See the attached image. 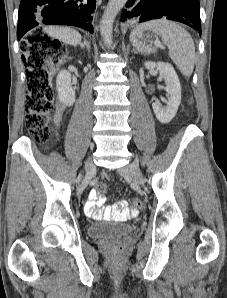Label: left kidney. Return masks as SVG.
<instances>
[{
    "instance_id": "left-kidney-1",
    "label": "left kidney",
    "mask_w": 227,
    "mask_h": 298,
    "mask_svg": "<svg viewBox=\"0 0 227 298\" xmlns=\"http://www.w3.org/2000/svg\"><path fill=\"white\" fill-rule=\"evenodd\" d=\"M146 69H155L159 70L160 76L164 78L167 92L168 101L166 106H161L160 104L154 102L152 103L153 111L156 115V118L161 123H169L176 115L178 107L181 102V85L179 78L174 70V68L169 63L164 62H145Z\"/></svg>"
}]
</instances>
